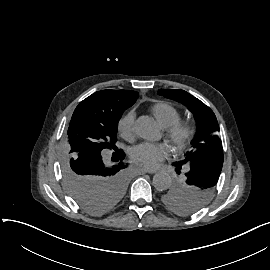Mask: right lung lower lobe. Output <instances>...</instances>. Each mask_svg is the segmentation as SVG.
<instances>
[{
  "label": "right lung lower lobe",
  "instance_id": "1",
  "mask_svg": "<svg viewBox=\"0 0 270 270\" xmlns=\"http://www.w3.org/2000/svg\"><path fill=\"white\" fill-rule=\"evenodd\" d=\"M121 163H122L123 165H115V162H114V165H115L114 168H122L119 172L125 173V171H123V169L126 168L127 165H125V164L123 163V161H122ZM106 167H109V165H106ZM119 172H118V173H119Z\"/></svg>",
  "mask_w": 270,
  "mask_h": 270
}]
</instances>
